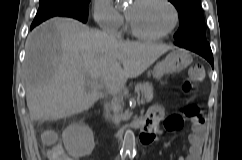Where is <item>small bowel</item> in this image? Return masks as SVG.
Instances as JSON below:
<instances>
[{
	"mask_svg": "<svg viewBox=\"0 0 242 160\" xmlns=\"http://www.w3.org/2000/svg\"><path fill=\"white\" fill-rule=\"evenodd\" d=\"M160 113L155 112L147 115L144 118L146 123L142 129L140 140L143 144H152L158 141V133L155 128L158 123ZM183 127V120L178 115L169 116L164 121V128L167 131H179ZM203 131L204 126L201 121H196L192 132L189 135V153L182 155L178 160H200L203 146ZM65 160H73L66 156Z\"/></svg>",
	"mask_w": 242,
	"mask_h": 160,
	"instance_id": "c3829d8e",
	"label": "small bowel"
}]
</instances>
